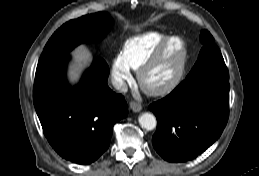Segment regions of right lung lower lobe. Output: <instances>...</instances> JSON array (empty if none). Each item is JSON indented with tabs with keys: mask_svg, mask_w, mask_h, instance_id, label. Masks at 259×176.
Instances as JSON below:
<instances>
[{
	"mask_svg": "<svg viewBox=\"0 0 259 176\" xmlns=\"http://www.w3.org/2000/svg\"><path fill=\"white\" fill-rule=\"evenodd\" d=\"M68 53L38 63L33 101L43 132L64 159L90 164L109 147L113 125L128 114L121 94L107 85L109 68L93 62L75 88L67 85Z\"/></svg>",
	"mask_w": 259,
	"mask_h": 176,
	"instance_id": "right-lung-lower-lobe-1",
	"label": "right lung lower lobe"
}]
</instances>
